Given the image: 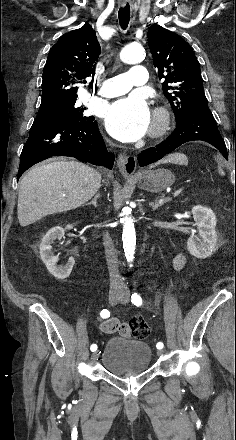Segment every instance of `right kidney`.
<instances>
[{"mask_svg":"<svg viewBox=\"0 0 236 440\" xmlns=\"http://www.w3.org/2000/svg\"><path fill=\"white\" fill-rule=\"evenodd\" d=\"M73 225H67L66 228L59 226L51 228L42 238L40 243V257L46 265L48 271L59 280L67 278L75 264L73 257H70L65 266H57L58 257L53 255L52 244L56 239L64 237L65 229H72Z\"/></svg>","mask_w":236,"mask_h":440,"instance_id":"right-kidney-1","label":"right kidney"}]
</instances>
